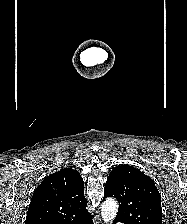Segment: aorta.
Returning <instances> with one entry per match:
<instances>
[{
  "mask_svg": "<svg viewBox=\"0 0 187 224\" xmlns=\"http://www.w3.org/2000/svg\"><path fill=\"white\" fill-rule=\"evenodd\" d=\"M118 211V203L113 198L106 199L101 207V216L103 221L107 224L114 220Z\"/></svg>",
  "mask_w": 187,
  "mask_h": 224,
  "instance_id": "obj_1",
  "label": "aorta"
}]
</instances>
